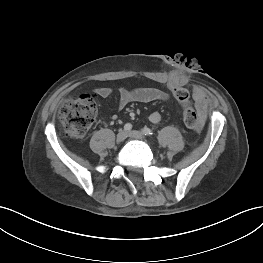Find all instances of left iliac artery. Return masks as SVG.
<instances>
[{"mask_svg": "<svg viewBox=\"0 0 263 263\" xmlns=\"http://www.w3.org/2000/svg\"><path fill=\"white\" fill-rule=\"evenodd\" d=\"M142 132H143V134L148 135V136H150V135L153 134L152 130L149 129V128H147V127H144V128L142 129Z\"/></svg>", "mask_w": 263, "mask_h": 263, "instance_id": "44dca946", "label": "left iliac artery"}]
</instances>
